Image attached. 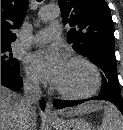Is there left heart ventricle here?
Instances as JSON below:
<instances>
[{
    "instance_id": "obj_1",
    "label": "left heart ventricle",
    "mask_w": 123,
    "mask_h": 130,
    "mask_svg": "<svg viewBox=\"0 0 123 130\" xmlns=\"http://www.w3.org/2000/svg\"><path fill=\"white\" fill-rule=\"evenodd\" d=\"M91 70L81 63L67 62L56 87L74 93L85 92L93 85Z\"/></svg>"
}]
</instances>
